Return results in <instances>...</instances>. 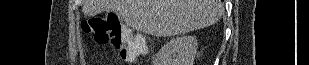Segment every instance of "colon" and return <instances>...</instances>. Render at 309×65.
I'll use <instances>...</instances> for the list:
<instances>
[{
  "instance_id": "colon-1",
  "label": "colon",
  "mask_w": 309,
  "mask_h": 65,
  "mask_svg": "<svg viewBox=\"0 0 309 65\" xmlns=\"http://www.w3.org/2000/svg\"><path fill=\"white\" fill-rule=\"evenodd\" d=\"M81 29L97 44H111L124 61L134 60L146 49L140 38L134 36L127 26L121 25L111 15L86 18L81 22Z\"/></svg>"
}]
</instances>
